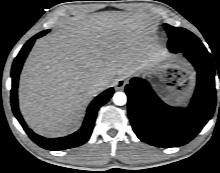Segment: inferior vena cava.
I'll use <instances>...</instances> for the list:
<instances>
[{
    "label": "inferior vena cava",
    "mask_w": 220,
    "mask_h": 173,
    "mask_svg": "<svg viewBox=\"0 0 220 173\" xmlns=\"http://www.w3.org/2000/svg\"><path fill=\"white\" fill-rule=\"evenodd\" d=\"M107 85V81L101 78L95 79L93 81V87L102 88Z\"/></svg>",
    "instance_id": "602c4592"
}]
</instances>
